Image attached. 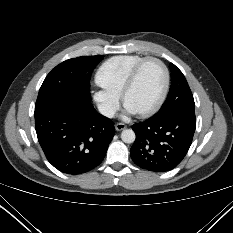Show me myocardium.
Returning a JSON list of instances; mask_svg holds the SVG:
<instances>
[{
    "label": "myocardium",
    "mask_w": 233,
    "mask_h": 233,
    "mask_svg": "<svg viewBox=\"0 0 233 233\" xmlns=\"http://www.w3.org/2000/svg\"><path fill=\"white\" fill-rule=\"evenodd\" d=\"M150 61H154L160 65V67L163 71V74H164V86H163L161 95L158 98L157 102L149 109L137 113L140 117L151 116V115L155 114L162 107V105L164 104V102L167 98L169 86H170V73H169V70H168L166 64L157 57H145L134 66V68L131 70V72H130V74H129V76L124 84V87H123L122 92H121V98H122L123 103L126 105V97H127L128 93L132 90V88L134 87L142 67L147 62H150Z\"/></svg>",
    "instance_id": "f54148a6"
}]
</instances>
